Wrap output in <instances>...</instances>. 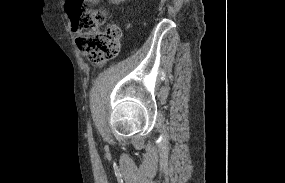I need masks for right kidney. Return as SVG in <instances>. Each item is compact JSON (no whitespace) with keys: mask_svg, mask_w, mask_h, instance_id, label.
<instances>
[{"mask_svg":"<svg viewBox=\"0 0 285 183\" xmlns=\"http://www.w3.org/2000/svg\"><path fill=\"white\" fill-rule=\"evenodd\" d=\"M113 4H119L120 2H124L125 0H110Z\"/></svg>","mask_w":285,"mask_h":183,"instance_id":"right-kidney-1","label":"right kidney"}]
</instances>
